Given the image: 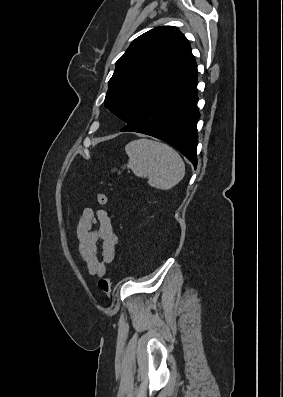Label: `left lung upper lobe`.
<instances>
[{"label":"left lung upper lobe","mask_w":283,"mask_h":397,"mask_svg":"<svg viewBox=\"0 0 283 397\" xmlns=\"http://www.w3.org/2000/svg\"><path fill=\"white\" fill-rule=\"evenodd\" d=\"M197 73L182 33L174 26L156 27L136 38L116 62L105 107L128 125Z\"/></svg>","instance_id":"5c2ea615"}]
</instances>
